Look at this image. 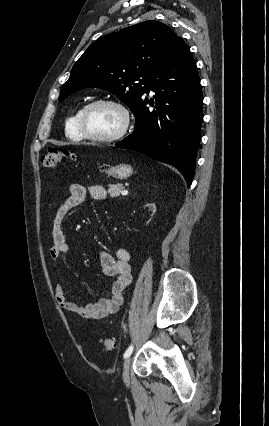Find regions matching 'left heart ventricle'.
Instances as JSON below:
<instances>
[{
  "label": "left heart ventricle",
  "mask_w": 269,
  "mask_h": 426,
  "mask_svg": "<svg viewBox=\"0 0 269 426\" xmlns=\"http://www.w3.org/2000/svg\"><path fill=\"white\" fill-rule=\"evenodd\" d=\"M121 124V113L109 105L94 106L86 116V126L89 132L95 135L113 134L120 128Z\"/></svg>",
  "instance_id": "1"
}]
</instances>
